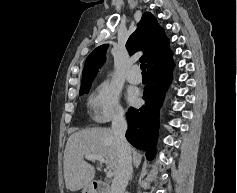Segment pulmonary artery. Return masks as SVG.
Returning a JSON list of instances; mask_svg holds the SVG:
<instances>
[{
  "label": "pulmonary artery",
  "instance_id": "e3ab8cb5",
  "mask_svg": "<svg viewBox=\"0 0 237 193\" xmlns=\"http://www.w3.org/2000/svg\"><path fill=\"white\" fill-rule=\"evenodd\" d=\"M127 80L132 84H139L142 81V76L139 73V67L133 66L127 75Z\"/></svg>",
  "mask_w": 237,
  "mask_h": 193
}]
</instances>
